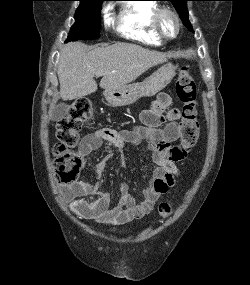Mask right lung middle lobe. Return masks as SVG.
Here are the masks:
<instances>
[{
	"instance_id": "right-lung-middle-lobe-1",
	"label": "right lung middle lobe",
	"mask_w": 250,
	"mask_h": 285,
	"mask_svg": "<svg viewBox=\"0 0 250 285\" xmlns=\"http://www.w3.org/2000/svg\"><path fill=\"white\" fill-rule=\"evenodd\" d=\"M78 1L80 5L76 10L75 23L71 27L67 41L99 38L101 5L106 0Z\"/></svg>"
}]
</instances>
